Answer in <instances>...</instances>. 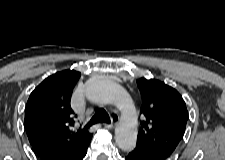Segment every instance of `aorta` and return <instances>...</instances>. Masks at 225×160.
<instances>
[{"mask_svg": "<svg viewBox=\"0 0 225 160\" xmlns=\"http://www.w3.org/2000/svg\"><path fill=\"white\" fill-rule=\"evenodd\" d=\"M86 97L93 103L114 104L119 108L122 119L115 129V140L120 149L133 150L137 141V116L128 93L115 82L98 80L87 86Z\"/></svg>", "mask_w": 225, "mask_h": 160, "instance_id": "762f6f07", "label": "aorta"}]
</instances>
